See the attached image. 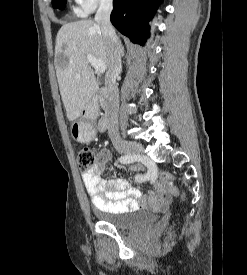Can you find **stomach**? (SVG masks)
Instances as JSON below:
<instances>
[{
    "label": "stomach",
    "mask_w": 247,
    "mask_h": 275,
    "mask_svg": "<svg viewBox=\"0 0 247 275\" xmlns=\"http://www.w3.org/2000/svg\"><path fill=\"white\" fill-rule=\"evenodd\" d=\"M71 135L73 139L79 142H85L93 137L94 131L90 125L77 121L71 126Z\"/></svg>",
    "instance_id": "1"
}]
</instances>
